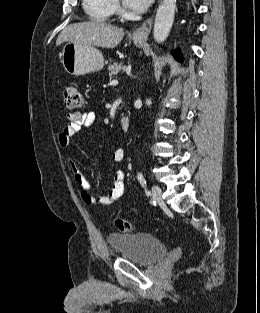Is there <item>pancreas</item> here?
Here are the masks:
<instances>
[{"instance_id":"obj_1","label":"pancreas","mask_w":260,"mask_h":313,"mask_svg":"<svg viewBox=\"0 0 260 313\" xmlns=\"http://www.w3.org/2000/svg\"><path fill=\"white\" fill-rule=\"evenodd\" d=\"M125 66L122 63L115 62L113 65L108 67L109 76L117 75L121 70H123Z\"/></svg>"}]
</instances>
